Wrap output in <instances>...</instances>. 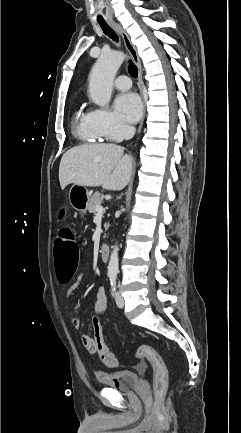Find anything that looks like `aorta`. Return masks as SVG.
<instances>
[{"instance_id":"762f6f07","label":"aorta","mask_w":241,"mask_h":433,"mask_svg":"<svg viewBox=\"0 0 241 433\" xmlns=\"http://www.w3.org/2000/svg\"><path fill=\"white\" fill-rule=\"evenodd\" d=\"M124 61V54L119 51L103 52L96 61L89 80V94L92 101L100 107H105L111 98L113 81ZM119 247L117 244L111 252L108 275L116 276L119 267Z\"/></svg>"}]
</instances>
